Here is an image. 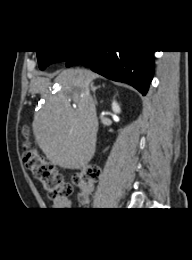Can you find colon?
I'll return each instance as SVG.
<instances>
[{"instance_id": "1", "label": "colon", "mask_w": 192, "mask_h": 260, "mask_svg": "<svg viewBox=\"0 0 192 260\" xmlns=\"http://www.w3.org/2000/svg\"><path fill=\"white\" fill-rule=\"evenodd\" d=\"M25 143L23 161L33 177L38 180L49 198L61 200L68 198L72 193V186L64 176L48 162L28 141V130H24ZM100 176V169L97 166L89 165L83 168L74 177L75 183L80 190L79 200L84 202L87 195L93 190L96 181Z\"/></svg>"}]
</instances>
